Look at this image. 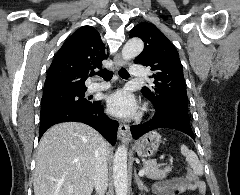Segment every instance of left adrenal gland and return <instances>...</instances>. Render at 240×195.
Listing matches in <instances>:
<instances>
[{"label":"left adrenal gland","mask_w":240,"mask_h":195,"mask_svg":"<svg viewBox=\"0 0 240 195\" xmlns=\"http://www.w3.org/2000/svg\"><path fill=\"white\" fill-rule=\"evenodd\" d=\"M134 179L141 191H145V189H147V185H144L142 179H140L139 175H137L136 167H134Z\"/></svg>","instance_id":"1"}]
</instances>
